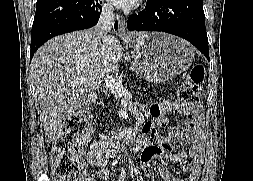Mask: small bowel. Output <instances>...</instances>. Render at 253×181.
<instances>
[{"instance_id": "1", "label": "small bowel", "mask_w": 253, "mask_h": 181, "mask_svg": "<svg viewBox=\"0 0 253 181\" xmlns=\"http://www.w3.org/2000/svg\"><path fill=\"white\" fill-rule=\"evenodd\" d=\"M177 106L178 102L174 97L151 106L150 115L153 118V122L144 124L140 131L144 144L141 154L142 171L148 175L152 160L165 157L172 163H183L181 169L185 174V178L174 177L163 164H160L158 172L161 181H198L204 152V143L199 131L189 129L184 135L173 133L167 136H158L155 131V127L166 125V112ZM179 143H191L189 153L176 152L175 148ZM108 145L109 139L102 135L91 143L90 151L87 154L88 161L100 168L98 175L101 178H106L108 174L105 169L110 154ZM189 158L192 162L185 163Z\"/></svg>"}]
</instances>
